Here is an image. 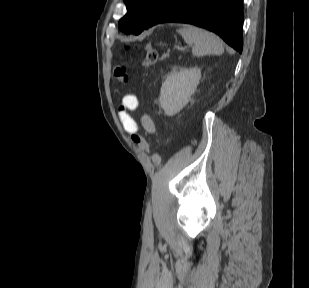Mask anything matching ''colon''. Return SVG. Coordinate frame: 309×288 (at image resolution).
<instances>
[{"label":"colon","instance_id":"5ec220e1","mask_svg":"<svg viewBox=\"0 0 309 288\" xmlns=\"http://www.w3.org/2000/svg\"><path fill=\"white\" fill-rule=\"evenodd\" d=\"M158 60V52L151 46L144 47V53L142 58V66L145 69L151 68ZM114 78L120 83H126L128 81L127 68L124 65H116L113 70ZM133 140L142 147L144 152H148L149 148L144 137L138 132L133 134Z\"/></svg>","mask_w":309,"mask_h":288}]
</instances>
